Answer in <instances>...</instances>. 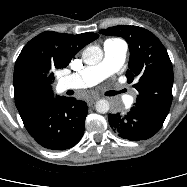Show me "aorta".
Masks as SVG:
<instances>
[{
    "mask_svg": "<svg viewBox=\"0 0 187 187\" xmlns=\"http://www.w3.org/2000/svg\"><path fill=\"white\" fill-rule=\"evenodd\" d=\"M83 60L87 65H96L103 58V51L98 46H88L82 54ZM96 111L105 114L109 111L110 104L105 99H100L96 102Z\"/></svg>",
    "mask_w": 187,
    "mask_h": 187,
    "instance_id": "762f6f07",
    "label": "aorta"
}]
</instances>
